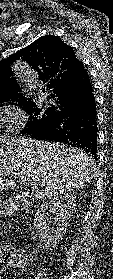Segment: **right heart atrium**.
I'll list each match as a JSON object with an SVG mask.
<instances>
[{"mask_svg":"<svg viewBox=\"0 0 113 279\" xmlns=\"http://www.w3.org/2000/svg\"><path fill=\"white\" fill-rule=\"evenodd\" d=\"M27 119L26 109L15 101L8 102L0 108V127L6 133L18 132L24 127Z\"/></svg>","mask_w":113,"mask_h":279,"instance_id":"right-heart-atrium-1","label":"right heart atrium"}]
</instances>
